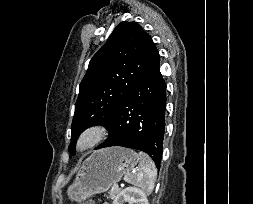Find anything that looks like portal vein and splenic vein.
I'll return each mask as SVG.
<instances>
[{"instance_id": "18ae733b", "label": "portal vein and splenic vein", "mask_w": 253, "mask_h": 204, "mask_svg": "<svg viewBox=\"0 0 253 204\" xmlns=\"http://www.w3.org/2000/svg\"><path fill=\"white\" fill-rule=\"evenodd\" d=\"M114 187H115V188H118L119 186H118V184L115 183V184H114Z\"/></svg>"}]
</instances>
